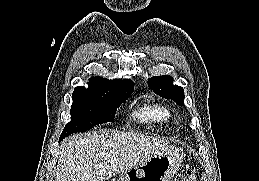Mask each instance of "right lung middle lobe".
<instances>
[{
	"mask_svg": "<svg viewBox=\"0 0 259 181\" xmlns=\"http://www.w3.org/2000/svg\"><path fill=\"white\" fill-rule=\"evenodd\" d=\"M128 97L73 94V104L70 110L71 121L66 124L60 137L64 139L72 133L85 132L95 125L112 121L117 108Z\"/></svg>",
	"mask_w": 259,
	"mask_h": 181,
	"instance_id": "obj_1",
	"label": "right lung middle lobe"
}]
</instances>
